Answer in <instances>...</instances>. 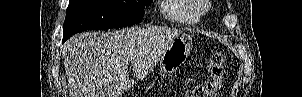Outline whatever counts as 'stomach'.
<instances>
[{
    "label": "stomach",
    "mask_w": 302,
    "mask_h": 97,
    "mask_svg": "<svg viewBox=\"0 0 302 97\" xmlns=\"http://www.w3.org/2000/svg\"><path fill=\"white\" fill-rule=\"evenodd\" d=\"M192 39L186 34L175 37L160 58V69L164 74L175 72L192 51Z\"/></svg>",
    "instance_id": "0dacf381"
}]
</instances>
